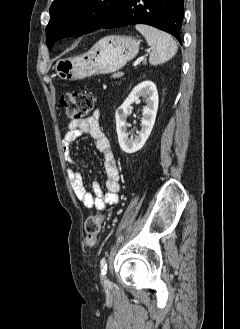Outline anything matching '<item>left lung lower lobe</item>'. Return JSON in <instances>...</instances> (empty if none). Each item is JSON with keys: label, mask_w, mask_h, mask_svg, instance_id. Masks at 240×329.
Here are the masks:
<instances>
[{"label": "left lung lower lobe", "mask_w": 240, "mask_h": 329, "mask_svg": "<svg viewBox=\"0 0 240 329\" xmlns=\"http://www.w3.org/2000/svg\"><path fill=\"white\" fill-rule=\"evenodd\" d=\"M184 0H123L100 28L147 24L172 34L181 44Z\"/></svg>", "instance_id": "0a47b994"}]
</instances>
